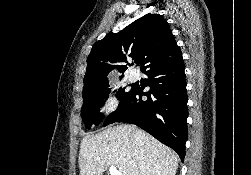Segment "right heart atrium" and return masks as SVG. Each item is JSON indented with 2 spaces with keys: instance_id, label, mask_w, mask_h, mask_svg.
Instances as JSON below:
<instances>
[{
  "instance_id": "1",
  "label": "right heart atrium",
  "mask_w": 251,
  "mask_h": 175,
  "mask_svg": "<svg viewBox=\"0 0 251 175\" xmlns=\"http://www.w3.org/2000/svg\"><path fill=\"white\" fill-rule=\"evenodd\" d=\"M118 100L115 96L109 95L107 96L101 104V112L105 115H109L117 109Z\"/></svg>"
}]
</instances>
